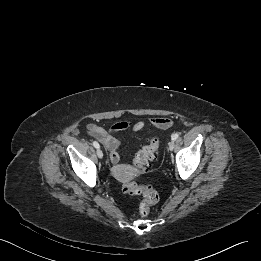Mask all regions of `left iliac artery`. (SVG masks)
Wrapping results in <instances>:
<instances>
[{"mask_svg":"<svg viewBox=\"0 0 261 261\" xmlns=\"http://www.w3.org/2000/svg\"><path fill=\"white\" fill-rule=\"evenodd\" d=\"M178 137H179V134L178 133H174L172 135V140H176Z\"/></svg>","mask_w":261,"mask_h":261,"instance_id":"obj_1","label":"left iliac artery"}]
</instances>
